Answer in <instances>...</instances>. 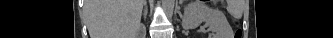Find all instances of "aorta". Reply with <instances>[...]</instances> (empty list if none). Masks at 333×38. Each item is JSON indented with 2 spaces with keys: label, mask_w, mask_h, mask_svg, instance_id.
Segmentation results:
<instances>
[{
  "label": "aorta",
  "mask_w": 333,
  "mask_h": 38,
  "mask_svg": "<svg viewBox=\"0 0 333 38\" xmlns=\"http://www.w3.org/2000/svg\"><path fill=\"white\" fill-rule=\"evenodd\" d=\"M175 0H162V6L164 8L166 16L171 19L173 16Z\"/></svg>",
  "instance_id": "aorta-1"
}]
</instances>
